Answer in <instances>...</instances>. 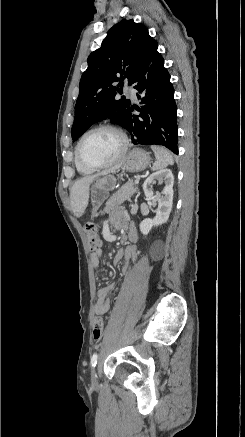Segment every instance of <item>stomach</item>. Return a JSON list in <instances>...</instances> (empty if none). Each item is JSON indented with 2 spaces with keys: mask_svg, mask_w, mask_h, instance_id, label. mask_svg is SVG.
<instances>
[{
  "mask_svg": "<svg viewBox=\"0 0 245 437\" xmlns=\"http://www.w3.org/2000/svg\"><path fill=\"white\" fill-rule=\"evenodd\" d=\"M150 160L149 153L142 149L135 148L127 154L122 169L129 172H141L149 166ZM115 184L116 178L110 173L95 179L89 193L93 213H95L108 198L109 192L114 189Z\"/></svg>",
  "mask_w": 245,
  "mask_h": 437,
  "instance_id": "1",
  "label": "stomach"
}]
</instances>
